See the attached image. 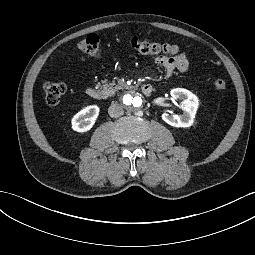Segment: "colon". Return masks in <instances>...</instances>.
I'll use <instances>...</instances> for the list:
<instances>
[{
	"mask_svg": "<svg viewBox=\"0 0 255 255\" xmlns=\"http://www.w3.org/2000/svg\"><path fill=\"white\" fill-rule=\"evenodd\" d=\"M130 47L132 50L145 55H176L180 49L176 45L167 43L152 42L147 39L134 37L130 40ZM79 52L98 58L101 56V45L99 37L95 34H89L77 44ZM214 87L218 91H223L226 88V82L223 79H217L214 82ZM43 90L45 93L46 102L49 105H57L62 96L65 94L67 87L61 81H48L44 84Z\"/></svg>",
	"mask_w": 255,
	"mask_h": 255,
	"instance_id": "1",
	"label": "colon"
}]
</instances>
